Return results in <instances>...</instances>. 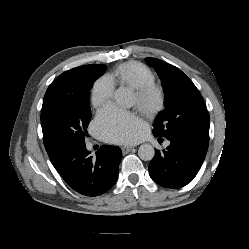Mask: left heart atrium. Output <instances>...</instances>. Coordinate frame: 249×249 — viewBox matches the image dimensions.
Returning <instances> with one entry per match:
<instances>
[{"instance_id": "39dd6f15", "label": "left heart atrium", "mask_w": 249, "mask_h": 249, "mask_svg": "<svg viewBox=\"0 0 249 249\" xmlns=\"http://www.w3.org/2000/svg\"><path fill=\"white\" fill-rule=\"evenodd\" d=\"M95 125L99 135L113 143L136 142L144 132V123L136 113L115 105H109L100 110Z\"/></svg>"}]
</instances>
